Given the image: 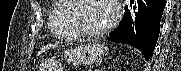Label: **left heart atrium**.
Returning <instances> with one entry per match:
<instances>
[{
	"label": "left heart atrium",
	"mask_w": 181,
	"mask_h": 71,
	"mask_svg": "<svg viewBox=\"0 0 181 71\" xmlns=\"http://www.w3.org/2000/svg\"><path fill=\"white\" fill-rule=\"evenodd\" d=\"M115 11H116L115 6H109V10H108V17H109V19L114 16Z\"/></svg>",
	"instance_id": "39dd6f15"
}]
</instances>
